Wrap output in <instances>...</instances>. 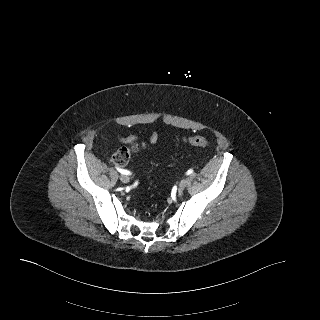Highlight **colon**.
Returning a JSON list of instances; mask_svg holds the SVG:
<instances>
[{"instance_id":"1","label":"colon","mask_w":320,"mask_h":320,"mask_svg":"<svg viewBox=\"0 0 320 320\" xmlns=\"http://www.w3.org/2000/svg\"><path fill=\"white\" fill-rule=\"evenodd\" d=\"M184 142L188 145L195 146V147H208L210 142L204 136H192L184 139ZM146 144L143 142H135L129 144L127 146L120 147L113 155V163L118 166H124L129 158L130 155L134 152H137L143 148H145Z\"/></svg>"}]
</instances>
